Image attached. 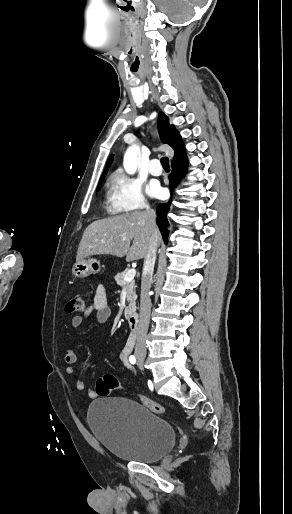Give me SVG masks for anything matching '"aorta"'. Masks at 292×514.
<instances>
[{"instance_id": "1", "label": "aorta", "mask_w": 292, "mask_h": 514, "mask_svg": "<svg viewBox=\"0 0 292 514\" xmlns=\"http://www.w3.org/2000/svg\"><path fill=\"white\" fill-rule=\"evenodd\" d=\"M136 152L137 148H129L125 154L123 166L127 174H135L137 170L136 166Z\"/></svg>"}]
</instances>
